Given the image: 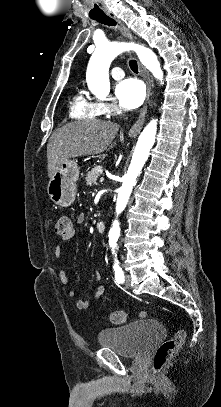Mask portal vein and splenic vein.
<instances>
[{"label":"portal vein and splenic vein","instance_id":"portal-vein-and-splenic-vein-1","mask_svg":"<svg viewBox=\"0 0 221 407\" xmlns=\"http://www.w3.org/2000/svg\"><path fill=\"white\" fill-rule=\"evenodd\" d=\"M105 180V178L102 176L101 178H100V182H103Z\"/></svg>","mask_w":221,"mask_h":407}]
</instances>
